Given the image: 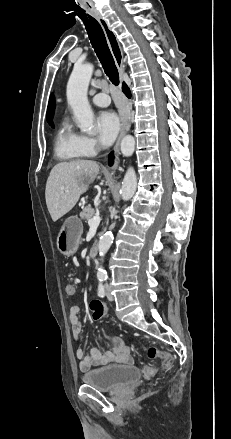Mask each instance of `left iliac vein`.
I'll return each mask as SVG.
<instances>
[{
	"label": "left iliac vein",
	"mask_w": 231,
	"mask_h": 439,
	"mask_svg": "<svg viewBox=\"0 0 231 439\" xmlns=\"http://www.w3.org/2000/svg\"><path fill=\"white\" fill-rule=\"evenodd\" d=\"M105 291H106L107 299H108L109 301H113V300H114V297H113V295L111 294V288H110V285H109V284H106V285H105Z\"/></svg>",
	"instance_id": "4c4485c4"
}]
</instances>
